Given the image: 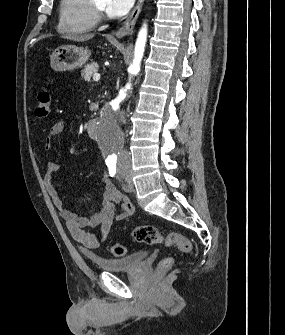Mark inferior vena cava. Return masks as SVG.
<instances>
[{"label": "inferior vena cava", "instance_id": "obj_1", "mask_svg": "<svg viewBox=\"0 0 285 335\" xmlns=\"http://www.w3.org/2000/svg\"><path fill=\"white\" fill-rule=\"evenodd\" d=\"M119 118L121 122H125V116H119ZM119 160L120 162H130L129 152H127V150H123V152H120Z\"/></svg>", "mask_w": 285, "mask_h": 335}]
</instances>
